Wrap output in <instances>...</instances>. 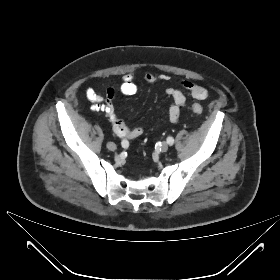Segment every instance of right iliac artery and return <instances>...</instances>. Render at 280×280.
Here are the masks:
<instances>
[{
    "mask_svg": "<svg viewBox=\"0 0 280 280\" xmlns=\"http://www.w3.org/2000/svg\"><path fill=\"white\" fill-rule=\"evenodd\" d=\"M121 145H122V147H126V146H127V141H126V140H123V141L121 142Z\"/></svg>",
    "mask_w": 280,
    "mask_h": 280,
    "instance_id": "obj_1",
    "label": "right iliac artery"
}]
</instances>
